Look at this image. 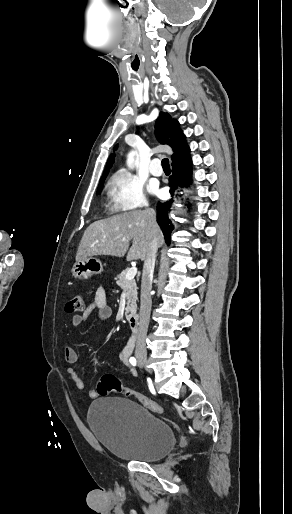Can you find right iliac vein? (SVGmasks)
Masks as SVG:
<instances>
[{
	"label": "right iliac vein",
	"mask_w": 292,
	"mask_h": 514,
	"mask_svg": "<svg viewBox=\"0 0 292 514\" xmlns=\"http://www.w3.org/2000/svg\"><path fill=\"white\" fill-rule=\"evenodd\" d=\"M137 359H138V363H139V365H140V366H142V367H144V368H146V370L150 372V369H149V367H148V361H147L146 356L139 355V356L137 357Z\"/></svg>",
	"instance_id": "1"
}]
</instances>
